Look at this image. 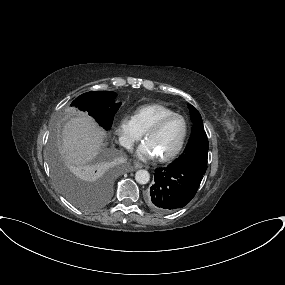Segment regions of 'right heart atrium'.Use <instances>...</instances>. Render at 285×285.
<instances>
[{
    "label": "right heart atrium",
    "instance_id": "d8ad5b80",
    "mask_svg": "<svg viewBox=\"0 0 285 285\" xmlns=\"http://www.w3.org/2000/svg\"><path fill=\"white\" fill-rule=\"evenodd\" d=\"M121 145L131 149L134 143L140 139L142 132L137 127L134 117L123 116L120 118L116 128Z\"/></svg>",
    "mask_w": 285,
    "mask_h": 285
}]
</instances>
